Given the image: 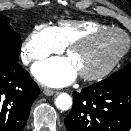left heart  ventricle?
<instances>
[{
	"mask_svg": "<svg viewBox=\"0 0 131 131\" xmlns=\"http://www.w3.org/2000/svg\"><path fill=\"white\" fill-rule=\"evenodd\" d=\"M126 40L120 34H105L87 46L72 52L77 70L93 72L107 64L125 46Z\"/></svg>",
	"mask_w": 131,
	"mask_h": 131,
	"instance_id": "b2bd125f",
	"label": "left heart ventricle"
}]
</instances>
